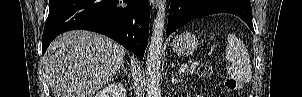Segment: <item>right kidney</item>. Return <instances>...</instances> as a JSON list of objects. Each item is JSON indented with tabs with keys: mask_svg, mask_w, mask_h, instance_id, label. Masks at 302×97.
<instances>
[{
	"mask_svg": "<svg viewBox=\"0 0 302 97\" xmlns=\"http://www.w3.org/2000/svg\"><path fill=\"white\" fill-rule=\"evenodd\" d=\"M111 94L126 97L125 88L121 83L112 84L108 88L99 91L95 97H109Z\"/></svg>",
	"mask_w": 302,
	"mask_h": 97,
	"instance_id": "right-kidney-1",
	"label": "right kidney"
}]
</instances>
